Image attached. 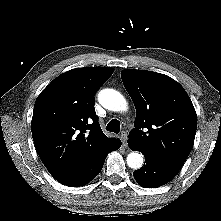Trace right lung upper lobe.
<instances>
[{"mask_svg":"<svg viewBox=\"0 0 221 221\" xmlns=\"http://www.w3.org/2000/svg\"><path fill=\"white\" fill-rule=\"evenodd\" d=\"M113 68L85 67L54 79L36 99L31 130L37 153L62 182L115 142L101 130L94 95Z\"/></svg>","mask_w":221,"mask_h":221,"instance_id":"obj_1","label":"right lung upper lobe"}]
</instances>
